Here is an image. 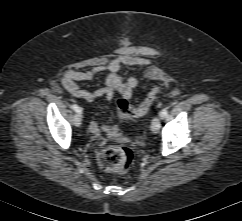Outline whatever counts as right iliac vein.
<instances>
[{"mask_svg": "<svg viewBox=\"0 0 242 221\" xmlns=\"http://www.w3.org/2000/svg\"><path fill=\"white\" fill-rule=\"evenodd\" d=\"M74 124L75 126H80L82 124V117L80 114L74 116Z\"/></svg>", "mask_w": 242, "mask_h": 221, "instance_id": "63e3f726", "label": "right iliac vein"}]
</instances>
